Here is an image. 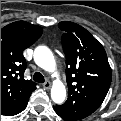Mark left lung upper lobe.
<instances>
[{
    "mask_svg": "<svg viewBox=\"0 0 121 121\" xmlns=\"http://www.w3.org/2000/svg\"><path fill=\"white\" fill-rule=\"evenodd\" d=\"M61 41L66 56L68 99L57 105L65 120L78 121L103 102L110 84L111 68L102 45L80 25L64 21Z\"/></svg>",
    "mask_w": 121,
    "mask_h": 121,
    "instance_id": "1",
    "label": "left lung upper lobe"
}]
</instances>
